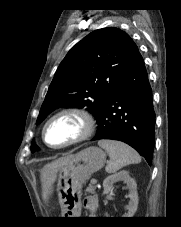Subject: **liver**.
I'll list each match as a JSON object with an SVG mask.
<instances>
[{
    "label": "liver",
    "instance_id": "1",
    "mask_svg": "<svg viewBox=\"0 0 181 227\" xmlns=\"http://www.w3.org/2000/svg\"><path fill=\"white\" fill-rule=\"evenodd\" d=\"M74 158V155H67L61 157L51 163L46 164L41 171V183L43 198L47 200L49 195L53 192V184L57 178V173Z\"/></svg>",
    "mask_w": 181,
    "mask_h": 227
}]
</instances>
